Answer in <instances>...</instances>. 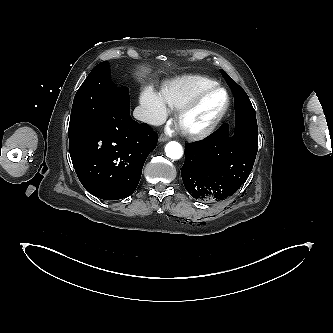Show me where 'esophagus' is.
Wrapping results in <instances>:
<instances>
[{
  "instance_id": "obj_1",
  "label": "esophagus",
  "mask_w": 333,
  "mask_h": 333,
  "mask_svg": "<svg viewBox=\"0 0 333 333\" xmlns=\"http://www.w3.org/2000/svg\"><path fill=\"white\" fill-rule=\"evenodd\" d=\"M159 142H166V141H168L169 140V137L168 136H166L165 134H161L160 136H159Z\"/></svg>"
}]
</instances>
